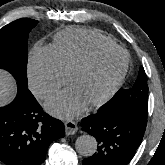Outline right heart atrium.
<instances>
[{"instance_id":"1","label":"right heart atrium","mask_w":165,"mask_h":165,"mask_svg":"<svg viewBox=\"0 0 165 165\" xmlns=\"http://www.w3.org/2000/svg\"><path fill=\"white\" fill-rule=\"evenodd\" d=\"M28 79L33 92L40 98H46L67 82L68 75L51 47L35 46L30 53Z\"/></svg>"}]
</instances>
